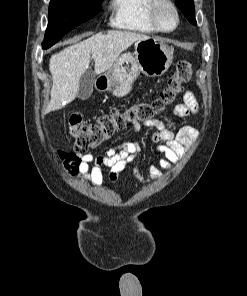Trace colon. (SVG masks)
Masks as SVG:
<instances>
[{"label":"colon","mask_w":247,"mask_h":296,"mask_svg":"<svg viewBox=\"0 0 247 296\" xmlns=\"http://www.w3.org/2000/svg\"><path fill=\"white\" fill-rule=\"evenodd\" d=\"M192 69L188 61H180L167 85L151 102H139L125 109H111L95 122L84 121L79 112H73L67 119L68 133L74 143V152H61L67 172L75 174L80 164V155L97 148L103 142L123 130L129 123L151 118L174 103L183 92L184 85L191 79Z\"/></svg>","instance_id":"colon-1"}]
</instances>
